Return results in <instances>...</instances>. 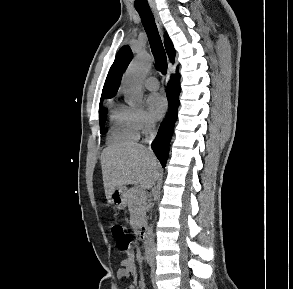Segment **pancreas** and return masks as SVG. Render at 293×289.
I'll return each mask as SVG.
<instances>
[{"label": "pancreas", "mask_w": 293, "mask_h": 289, "mask_svg": "<svg viewBox=\"0 0 293 289\" xmlns=\"http://www.w3.org/2000/svg\"><path fill=\"white\" fill-rule=\"evenodd\" d=\"M127 204L129 212L135 222L136 227L142 226L146 216V196L139 190L135 191V188L128 190L127 192Z\"/></svg>", "instance_id": "1"}]
</instances>
